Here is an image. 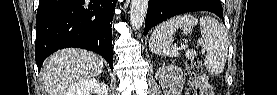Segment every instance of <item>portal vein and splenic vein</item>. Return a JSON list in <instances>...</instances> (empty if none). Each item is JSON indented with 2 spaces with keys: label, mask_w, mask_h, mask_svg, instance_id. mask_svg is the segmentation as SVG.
<instances>
[{
  "label": "portal vein and splenic vein",
  "mask_w": 277,
  "mask_h": 95,
  "mask_svg": "<svg viewBox=\"0 0 277 95\" xmlns=\"http://www.w3.org/2000/svg\"><path fill=\"white\" fill-rule=\"evenodd\" d=\"M182 48H183V49H186V48H187V45L182 44Z\"/></svg>",
  "instance_id": "portal-vein-and-splenic-vein-1"
}]
</instances>
